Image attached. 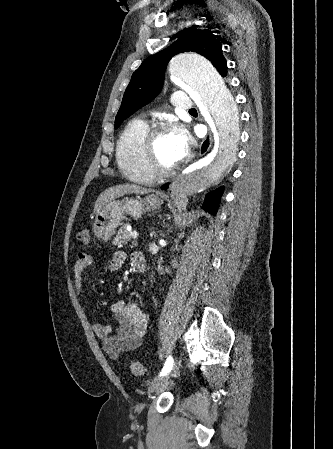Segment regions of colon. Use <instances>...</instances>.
<instances>
[{
	"instance_id": "1",
	"label": "colon",
	"mask_w": 333,
	"mask_h": 449,
	"mask_svg": "<svg viewBox=\"0 0 333 449\" xmlns=\"http://www.w3.org/2000/svg\"><path fill=\"white\" fill-rule=\"evenodd\" d=\"M78 240L87 245L90 242V231L88 228L82 229L77 236ZM131 371L135 376H141L144 372V368L140 362H132L131 363Z\"/></svg>"
}]
</instances>
